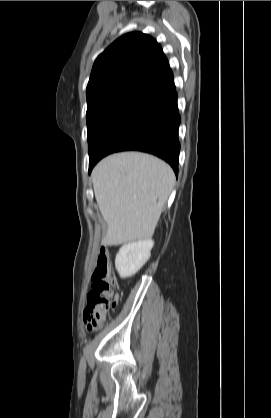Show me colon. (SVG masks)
I'll return each mask as SVG.
<instances>
[{
  "label": "colon",
  "mask_w": 271,
  "mask_h": 418,
  "mask_svg": "<svg viewBox=\"0 0 271 418\" xmlns=\"http://www.w3.org/2000/svg\"><path fill=\"white\" fill-rule=\"evenodd\" d=\"M91 289L87 295L84 322L89 330L99 329L115 307L117 293L115 279L111 272L108 253L101 249L92 275Z\"/></svg>",
  "instance_id": "obj_1"
}]
</instances>
